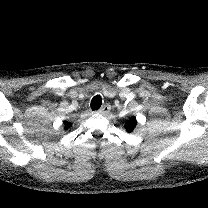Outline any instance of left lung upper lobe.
Masks as SVG:
<instances>
[{
    "mask_svg": "<svg viewBox=\"0 0 208 208\" xmlns=\"http://www.w3.org/2000/svg\"><path fill=\"white\" fill-rule=\"evenodd\" d=\"M137 121L135 117H131L124 125L127 132H132L136 127Z\"/></svg>",
    "mask_w": 208,
    "mask_h": 208,
    "instance_id": "5c2ea615",
    "label": "left lung upper lobe"
}]
</instances>
